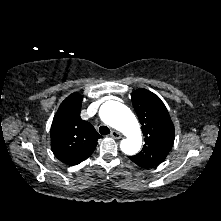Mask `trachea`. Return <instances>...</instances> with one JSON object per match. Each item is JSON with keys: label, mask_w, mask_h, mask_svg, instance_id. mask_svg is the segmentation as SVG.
Returning a JSON list of instances; mask_svg holds the SVG:
<instances>
[{"label": "trachea", "mask_w": 221, "mask_h": 221, "mask_svg": "<svg viewBox=\"0 0 221 221\" xmlns=\"http://www.w3.org/2000/svg\"><path fill=\"white\" fill-rule=\"evenodd\" d=\"M99 132L102 135H108V134H110V129L107 126H100Z\"/></svg>", "instance_id": "trachea-1"}]
</instances>
